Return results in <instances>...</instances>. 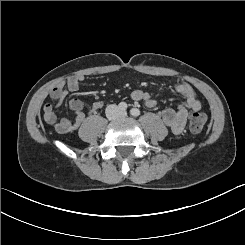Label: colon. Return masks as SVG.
Here are the masks:
<instances>
[{"mask_svg": "<svg viewBox=\"0 0 245 245\" xmlns=\"http://www.w3.org/2000/svg\"><path fill=\"white\" fill-rule=\"evenodd\" d=\"M207 122V115L203 112L194 111L190 115L189 128L192 132H200Z\"/></svg>", "mask_w": 245, "mask_h": 245, "instance_id": "5ec220e1", "label": "colon"}]
</instances>
